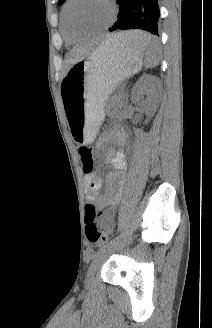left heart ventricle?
<instances>
[{"label": "left heart ventricle", "instance_id": "left-heart-ventricle-1", "mask_svg": "<svg viewBox=\"0 0 212 328\" xmlns=\"http://www.w3.org/2000/svg\"><path fill=\"white\" fill-rule=\"evenodd\" d=\"M111 15L107 0H75L68 12L72 28L84 31L106 25Z\"/></svg>", "mask_w": 212, "mask_h": 328}]
</instances>
